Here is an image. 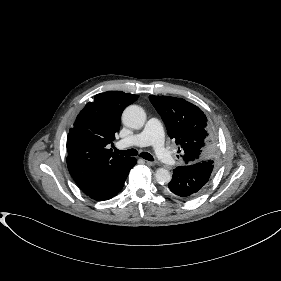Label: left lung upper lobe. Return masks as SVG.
<instances>
[{
	"mask_svg": "<svg viewBox=\"0 0 281 281\" xmlns=\"http://www.w3.org/2000/svg\"><path fill=\"white\" fill-rule=\"evenodd\" d=\"M166 124L168 135L180 146L184 165L215 160L207 118L195 105L181 98L149 96Z\"/></svg>",
	"mask_w": 281,
	"mask_h": 281,
	"instance_id": "left-lung-upper-lobe-1",
	"label": "left lung upper lobe"
}]
</instances>
